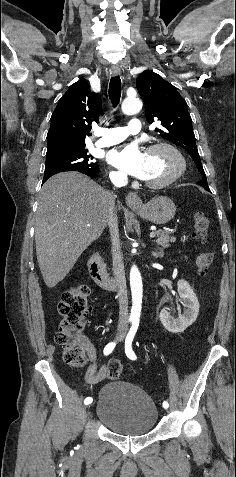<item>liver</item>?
Segmentation results:
<instances>
[{"mask_svg":"<svg viewBox=\"0 0 236 477\" xmlns=\"http://www.w3.org/2000/svg\"><path fill=\"white\" fill-rule=\"evenodd\" d=\"M112 194L78 172L48 179L39 194L35 243L48 288L55 287L105 226Z\"/></svg>","mask_w":236,"mask_h":477,"instance_id":"obj_1","label":"liver"}]
</instances>
